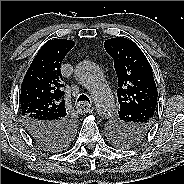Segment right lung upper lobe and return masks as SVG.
<instances>
[{"mask_svg": "<svg viewBox=\"0 0 184 184\" xmlns=\"http://www.w3.org/2000/svg\"><path fill=\"white\" fill-rule=\"evenodd\" d=\"M74 41L54 39L45 43L23 79L20 94L22 116L57 122L67 118L61 63Z\"/></svg>", "mask_w": 184, "mask_h": 184, "instance_id": "1", "label": "right lung upper lobe"}]
</instances>
